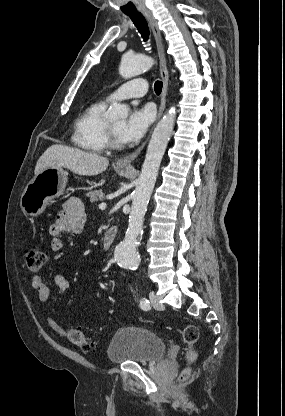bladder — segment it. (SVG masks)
Here are the masks:
<instances>
[{"mask_svg": "<svg viewBox=\"0 0 285 416\" xmlns=\"http://www.w3.org/2000/svg\"><path fill=\"white\" fill-rule=\"evenodd\" d=\"M166 341L140 326H126L117 330L108 346L110 362L150 364L166 354Z\"/></svg>", "mask_w": 285, "mask_h": 416, "instance_id": "obj_1", "label": "bladder"}]
</instances>
